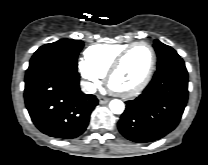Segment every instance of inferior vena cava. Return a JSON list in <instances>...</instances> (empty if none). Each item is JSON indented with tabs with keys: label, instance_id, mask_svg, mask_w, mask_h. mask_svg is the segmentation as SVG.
Segmentation results:
<instances>
[{
	"label": "inferior vena cava",
	"instance_id": "inferior-vena-cava-1",
	"mask_svg": "<svg viewBox=\"0 0 208 165\" xmlns=\"http://www.w3.org/2000/svg\"><path fill=\"white\" fill-rule=\"evenodd\" d=\"M82 91L84 93H90L93 94L96 92V87L93 83L90 82H82L81 83Z\"/></svg>",
	"mask_w": 208,
	"mask_h": 165
}]
</instances>
